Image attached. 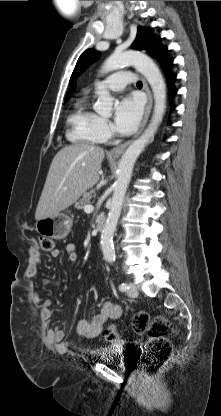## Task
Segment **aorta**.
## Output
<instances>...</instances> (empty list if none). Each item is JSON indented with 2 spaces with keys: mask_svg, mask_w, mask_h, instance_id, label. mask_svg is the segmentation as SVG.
Returning <instances> with one entry per match:
<instances>
[{
  "mask_svg": "<svg viewBox=\"0 0 221 416\" xmlns=\"http://www.w3.org/2000/svg\"><path fill=\"white\" fill-rule=\"evenodd\" d=\"M124 65H133L150 84L154 97V111L147 129L129 145L118 165L111 206L101 235V249L104 259L109 263L115 260L113 235L121 214L134 164L149 140L156 133L166 109V85L158 66L153 60L139 51L115 52L104 62L102 72L114 71ZM97 94L98 100L94 105V110L101 115L109 114L112 109L113 98L103 87H98Z\"/></svg>",
  "mask_w": 221,
  "mask_h": 416,
  "instance_id": "1",
  "label": "aorta"
}]
</instances>
